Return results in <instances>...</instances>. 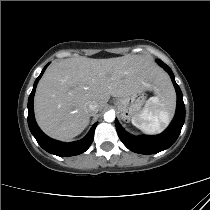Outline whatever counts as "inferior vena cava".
Instances as JSON below:
<instances>
[{
	"instance_id": "602c4592",
	"label": "inferior vena cava",
	"mask_w": 210,
	"mask_h": 210,
	"mask_svg": "<svg viewBox=\"0 0 210 210\" xmlns=\"http://www.w3.org/2000/svg\"><path fill=\"white\" fill-rule=\"evenodd\" d=\"M98 110V104L96 102H90L88 104V111L93 114Z\"/></svg>"
}]
</instances>
